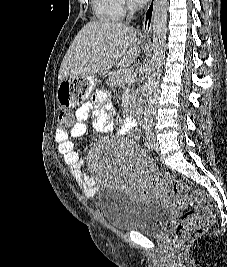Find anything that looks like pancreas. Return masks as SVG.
<instances>
[{
	"label": "pancreas",
	"mask_w": 227,
	"mask_h": 267,
	"mask_svg": "<svg viewBox=\"0 0 227 267\" xmlns=\"http://www.w3.org/2000/svg\"><path fill=\"white\" fill-rule=\"evenodd\" d=\"M133 73L129 69H119L114 71L108 79L111 85L124 87L127 83H131ZM136 93L132 92L130 94V101H135Z\"/></svg>",
	"instance_id": "1"
}]
</instances>
